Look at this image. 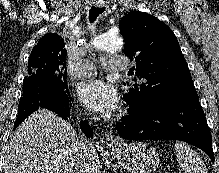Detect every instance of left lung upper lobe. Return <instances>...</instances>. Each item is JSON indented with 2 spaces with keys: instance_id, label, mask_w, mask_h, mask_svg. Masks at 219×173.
I'll return each instance as SVG.
<instances>
[{
  "instance_id": "5c2ea615",
  "label": "left lung upper lobe",
  "mask_w": 219,
  "mask_h": 173,
  "mask_svg": "<svg viewBox=\"0 0 219 173\" xmlns=\"http://www.w3.org/2000/svg\"><path fill=\"white\" fill-rule=\"evenodd\" d=\"M119 28L125 39L124 53L135 60L133 69L141 80L127 82L130 88L123 98L129 107L150 108L198 96L179 43L167 25L134 11L120 20Z\"/></svg>"
}]
</instances>
